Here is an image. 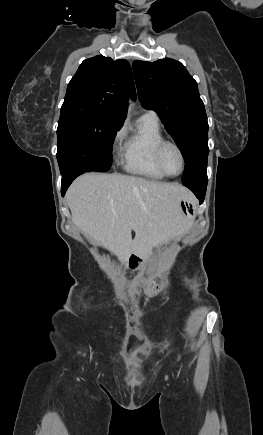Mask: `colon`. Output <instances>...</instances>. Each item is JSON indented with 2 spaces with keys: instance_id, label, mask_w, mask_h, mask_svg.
I'll return each instance as SVG.
<instances>
[{
  "instance_id": "colon-1",
  "label": "colon",
  "mask_w": 263,
  "mask_h": 435,
  "mask_svg": "<svg viewBox=\"0 0 263 435\" xmlns=\"http://www.w3.org/2000/svg\"><path fill=\"white\" fill-rule=\"evenodd\" d=\"M148 290H149V291H152V290H153V286H150V287L148 288Z\"/></svg>"
}]
</instances>
